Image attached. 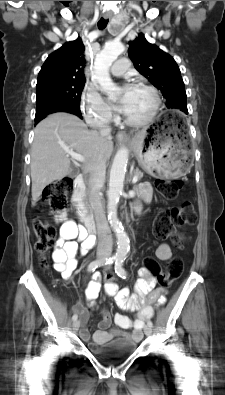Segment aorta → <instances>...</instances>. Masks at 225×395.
<instances>
[{
	"label": "aorta",
	"mask_w": 225,
	"mask_h": 395,
	"mask_svg": "<svg viewBox=\"0 0 225 395\" xmlns=\"http://www.w3.org/2000/svg\"><path fill=\"white\" fill-rule=\"evenodd\" d=\"M120 42H110L96 55L94 61V78L100 85L101 91L113 93L118 90L112 81L109 68L118 56L124 51ZM128 163V150L121 148L117 151L110 170L108 189V220L117 238V250L115 258L122 261L130 250V241L117 216V205L123 192L125 173Z\"/></svg>",
	"instance_id": "aorta-1"
}]
</instances>
